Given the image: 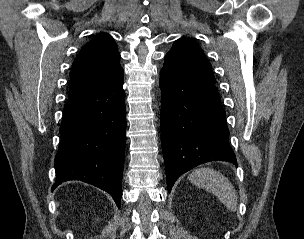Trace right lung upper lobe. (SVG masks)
I'll return each mask as SVG.
<instances>
[{
    "instance_id": "right-lung-upper-lobe-1",
    "label": "right lung upper lobe",
    "mask_w": 304,
    "mask_h": 239,
    "mask_svg": "<svg viewBox=\"0 0 304 239\" xmlns=\"http://www.w3.org/2000/svg\"><path fill=\"white\" fill-rule=\"evenodd\" d=\"M114 39L99 34L88 42L75 59L70 77L69 100L81 97L123 72Z\"/></svg>"
}]
</instances>
